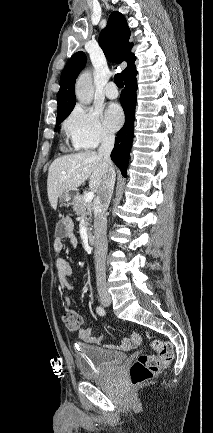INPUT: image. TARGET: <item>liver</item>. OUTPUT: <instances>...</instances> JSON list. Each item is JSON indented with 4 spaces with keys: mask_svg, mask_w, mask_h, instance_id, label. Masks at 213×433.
I'll use <instances>...</instances> for the list:
<instances>
[{
    "mask_svg": "<svg viewBox=\"0 0 213 433\" xmlns=\"http://www.w3.org/2000/svg\"><path fill=\"white\" fill-rule=\"evenodd\" d=\"M104 177L103 158L95 151L65 155L55 159L49 167L47 194L53 209L59 196L68 190H75L88 178L90 189L99 193Z\"/></svg>",
    "mask_w": 213,
    "mask_h": 433,
    "instance_id": "1",
    "label": "liver"
}]
</instances>
